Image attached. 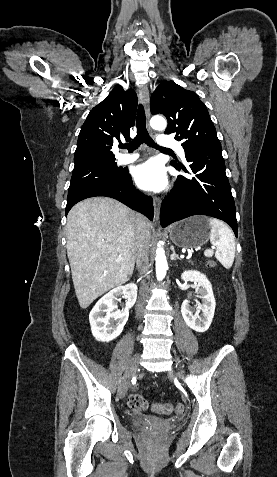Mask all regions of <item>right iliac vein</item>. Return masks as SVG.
<instances>
[{"instance_id": "63e3f726", "label": "right iliac vein", "mask_w": 277, "mask_h": 477, "mask_svg": "<svg viewBox=\"0 0 277 477\" xmlns=\"http://www.w3.org/2000/svg\"><path fill=\"white\" fill-rule=\"evenodd\" d=\"M140 360H141L140 354L134 355L132 359L130 360L118 388V396L120 398H123L126 395L129 384H130V380L133 377Z\"/></svg>"}]
</instances>
